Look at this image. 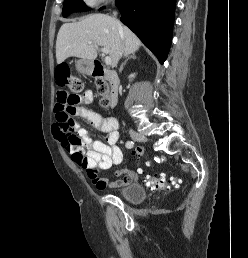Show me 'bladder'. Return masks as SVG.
Wrapping results in <instances>:
<instances>
[{"instance_id":"31cf9c89","label":"bladder","mask_w":248,"mask_h":258,"mask_svg":"<svg viewBox=\"0 0 248 258\" xmlns=\"http://www.w3.org/2000/svg\"><path fill=\"white\" fill-rule=\"evenodd\" d=\"M120 195L125 200L133 204L141 203L147 198V192L145 188L137 183H132L125 186L120 191Z\"/></svg>"}]
</instances>
